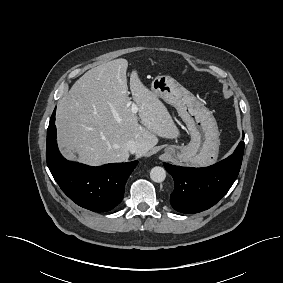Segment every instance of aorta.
Returning <instances> with one entry per match:
<instances>
[{"instance_id": "1", "label": "aorta", "mask_w": 283, "mask_h": 283, "mask_svg": "<svg viewBox=\"0 0 283 283\" xmlns=\"http://www.w3.org/2000/svg\"><path fill=\"white\" fill-rule=\"evenodd\" d=\"M150 178L156 183L163 182L166 178L165 169L159 166L153 167L150 171Z\"/></svg>"}]
</instances>
